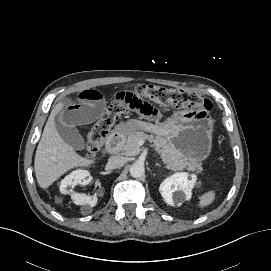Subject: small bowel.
<instances>
[{
    "mask_svg": "<svg viewBox=\"0 0 271 271\" xmlns=\"http://www.w3.org/2000/svg\"><path fill=\"white\" fill-rule=\"evenodd\" d=\"M114 102L126 106V113H135L140 119L157 122L163 118V112L153 103L141 96L136 90H120L114 94ZM105 98L97 90L81 91L77 99L58 109L48 121V129L59 135L72 147L79 148L82 139L78 127L90 124L98 119L105 109Z\"/></svg>",
    "mask_w": 271,
    "mask_h": 271,
    "instance_id": "c3829d8e",
    "label": "small bowel"
}]
</instances>
